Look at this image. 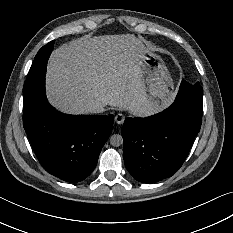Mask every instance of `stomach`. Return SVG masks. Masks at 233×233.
<instances>
[{
  "instance_id": "stomach-1",
  "label": "stomach",
  "mask_w": 233,
  "mask_h": 233,
  "mask_svg": "<svg viewBox=\"0 0 233 233\" xmlns=\"http://www.w3.org/2000/svg\"><path fill=\"white\" fill-rule=\"evenodd\" d=\"M133 59L140 69L144 95L150 111L157 113L167 108L174 99L172 74L164 59L137 39L133 43Z\"/></svg>"
}]
</instances>
